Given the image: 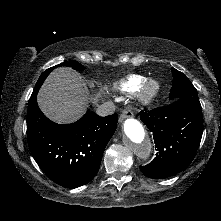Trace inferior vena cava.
I'll use <instances>...</instances> for the list:
<instances>
[{"instance_id": "inferior-vena-cava-1", "label": "inferior vena cava", "mask_w": 221, "mask_h": 221, "mask_svg": "<svg viewBox=\"0 0 221 221\" xmlns=\"http://www.w3.org/2000/svg\"><path fill=\"white\" fill-rule=\"evenodd\" d=\"M114 112H115V105L112 101L104 102L103 104L99 105L96 109V113L99 116L111 115Z\"/></svg>"}]
</instances>
